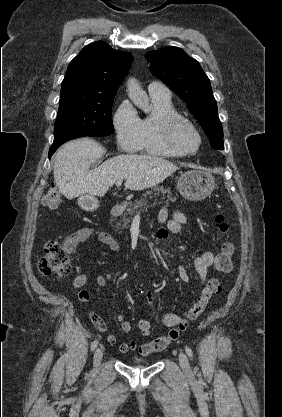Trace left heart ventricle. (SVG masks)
Masks as SVG:
<instances>
[{
    "label": "left heart ventricle",
    "instance_id": "b2bd125f",
    "mask_svg": "<svg viewBox=\"0 0 282 417\" xmlns=\"http://www.w3.org/2000/svg\"><path fill=\"white\" fill-rule=\"evenodd\" d=\"M157 128L161 136H163L164 134L163 127L159 123H157ZM174 133H175V138L177 142L182 147H184L185 149L189 151H194L196 149L198 145V140L193 133H191L190 131H188L187 129L183 127L176 128Z\"/></svg>",
    "mask_w": 282,
    "mask_h": 417
}]
</instances>
